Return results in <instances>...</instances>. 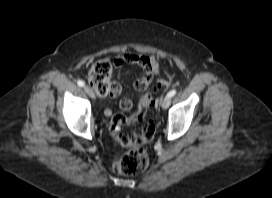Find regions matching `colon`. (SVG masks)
Instances as JSON below:
<instances>
[{
	"mask_svg": "<svg viewBox=\"0 0 272 198\" xmlns=\"http://www.w3.org/2000/svg\"><path fill=\"white\" fill-rule=\"evenodd\" d=\"M112 64L110 60H99L92 65L88 72V81L93 89L102 96L112 94L111 81ZM152 79L146 77L135 82L138 89L144 90L151 84ZM169 86L167 81L157 82V89L165 90ZM153 104V98L147 94L143 96L138 103L136 111L126 116L122 113L115 114L110 122V130L117 141L126 148V153L117 156L113 161V170L122 175H135L142 172L148 165V155L143 149V144L149 142L154 137L156 127L155 123L147 118L148 111ZM142 124L140 135L129 136L121 134L120 129L126 125Z\"/></svg>",
	"mask_w": 272,
	"mask_h": 198,
	"instance_id": "obj_1",
	"label": "colon"
}]
</instances>
